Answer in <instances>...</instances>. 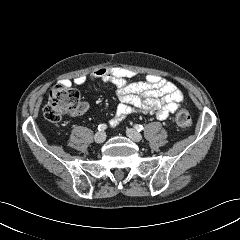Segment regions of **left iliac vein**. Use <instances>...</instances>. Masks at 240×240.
I'll list each match as a JSON object with an SVG mask.
<instances>
[{
  "label": "left iliac vein",
  "mask_w": 240,
  "mask_h": 240,
  "mask_svg": "<svg viewBox=\"0 0 240 240\" xmlns=\"http://www.w3.org/2000/svg\"><path fill=\"white\" fill-rule=\"evenodd\" d=\"M126 134L130 139H132L135 142H139L142 139L141 134L131 128L126 130Z\"/></svg>",
  "instance_id": "1"
}]
</instances>
